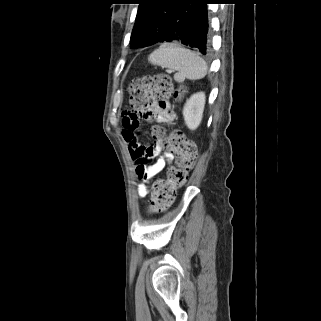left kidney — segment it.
I'll return each instance as SVG.
<instances>
[{"instance_id": "obj_1", "label": "left kidney", "mask_w": 321, "mask_h": 321, "mask_svg": "<svg viewBox=\"0 0 321 321\" xmlns=\"http://www.w3.org/2000/svg\"><path fill=\"white\" fill-rule=\"evenodd\" d=\"M205 106V93L198 92L187 100L183 108V116L187 127L195 130L201 123Z\"/></svg>"}]
</instances>
